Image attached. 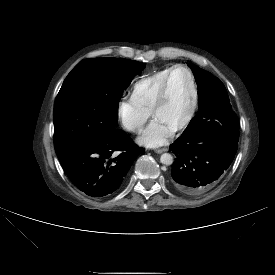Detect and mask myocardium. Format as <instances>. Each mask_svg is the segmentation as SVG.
<instances>
[{"label": "myocardium", "instance_id": "f54148a6", "mask_svg": "<svg viewBox=\"0 0 275 275\" xmlns=\"http://www.w3.org/2000/svg\"><path fill=\"white\" fill-rule=\"evenodd\" d=\"M178 69H182V70L186 71L187 74L189 75L190 83H191V87H192L193 99H192L191 108H190V111H189L187 117L184 119V121L182 123H180L177 127L174 128L175 132L182 131L190 125V123L192 122V120L196 114L197 106H198L199 94H198L197 83H196L194 74L187 66L178 64V65L173 66L170 69V71L168 72V74L163 82V85L159 91L156 102L152 108V114L155 115V113L163 106V104L165 103V101L167 99L170 78H171L173 72Z\"/></svg>", "mask_w": 275, "mask_h": 275}]
</instances>
